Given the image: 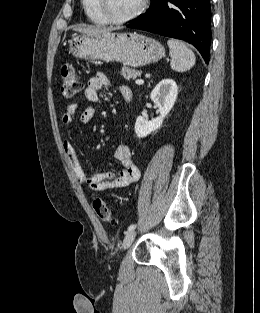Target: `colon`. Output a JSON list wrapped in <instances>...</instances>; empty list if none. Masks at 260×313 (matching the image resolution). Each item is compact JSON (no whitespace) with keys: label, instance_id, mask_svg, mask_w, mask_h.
Instances as JSON below:
<instances>
[{"label":"colon","instance_id":"5ec220e1","mask_svg":"<svg viewBox=\"0 0 260 313\" xmlns=\"http://www.w3.org/2000/svg\"><path fill=\"white\" fill-rule=\"evenodd\" d=\"M83 89V83L72 65H64L61 69V94L65 99H72ZM93 209L97 216L108 223L113 221L111 210L101 198L93 200Z\"/></svg>","mask_w":260,"mask_h":313}]
</instances>
